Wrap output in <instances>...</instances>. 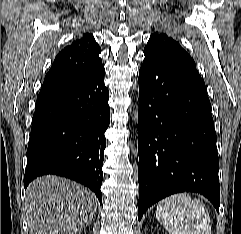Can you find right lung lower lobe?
Returning a JSON list of instances; mask_svg holds the SVG:
<instances>
[{
  "label": "right lung lower lobe",
  "instance_id": "right-lung-lower-lobe-1",
  "mask_svg": "<svg viewBox=\"0 0 241 234\" xmlns=\"http://www.w3.org/2000/svg\"><path fill=\"white\" fill-rule=\"evenodd\" d=\"M104 68L74 83L40 91L27 149L24 186L55 174L89 187L102 203V166L110 123Z\"/></svg>",
  "mask_w": 241,
  "mask_h": 234
}]
</instances>
